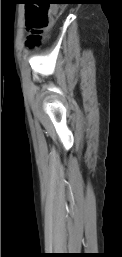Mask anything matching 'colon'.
Returning a JSON list of instances; mask_svg holds the SVG:
<instances>
[{"instance_id": "1", "label": "colon", "mask_w": 122, "mask_h": 257, "mask_svg": "<svg viewBox=\"0 0 122 257\" xmlns=\"http://www.w3.org/2000/svg\"><path fill=\"white\" fill-rule=\"evenodd\" d=\"M51 22V10L45 5H29L26 12V27L29 32L28 43L37 46L43 33Z\"/></svg>"}]
</instances>
